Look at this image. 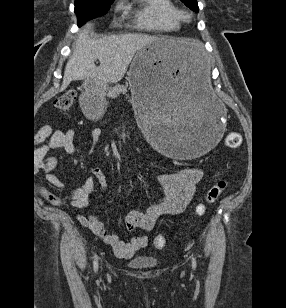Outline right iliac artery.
Here are the masks:
<instances>
[{"label":"right iliac artery","mask_w":286,"mask_h":308,"mask_svg":"<svg viewBox=\"0 0 286 308\" xmlns=\"http://www.w3.org/2000/svg\"><path fill=\"white\" fill-rule=\"evenodd\" d=\"M93 266H94V271L96 272V271L98 270V258H97V256H96L95 259H94V264H93Z\"/></svg>","instance_id":"obj_1"}]
</instances>
